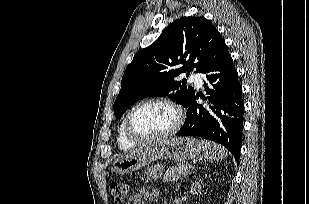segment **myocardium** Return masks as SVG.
<instances>
[{"label":"myocardium","mask_w":309,"mask_h":204,"mask_svg":"<svg viewBox=\"0 0 309 204\" xmlns=\"http://www.w3.org/2000/svg\"><path fill=\"white\" fill-rule=\"evenodd\" d=\"M152 103L164 104L168 106L169 108H171L175 114L174 123L167 131L161 134H158L155 136L138 135L131 128L132 117L139 108H141L142 106L148 105V104H152ZM182 122H183V111L178 104H176L174 101L167 99V98L154 97V98L142 100L141 102L137 103L135 106L132 107V109L127 113L125 120H124V133L127 139H129L133 143H150V142L159 141L161 139L174 135L181 127Z\"/></svg>","instance_id":"obj_1"}]
</instances>
